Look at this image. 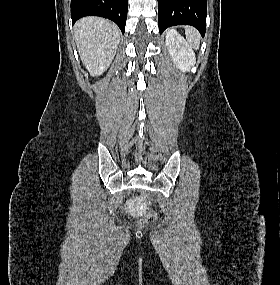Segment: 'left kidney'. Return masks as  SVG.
I'll use <instances>...</instances> for the list:
<instances>
[{
	"mask_svg": "<svg viewBox=\"0 0 280 285\" xmlns=\"http://www.w3.org/2000/svg\"><path fill=\"white\" fill-rule=\"evenodd\" d=\"M166 45L175 65L182 71H190L195 65L196 57L190 45L175 30L166 35Z\"/></svg>",
	"mask_w": 280,
	"mask_h": 285,
	"instance_id": "5707ae66",
	"label": "left kidney"
}]
</instances>
